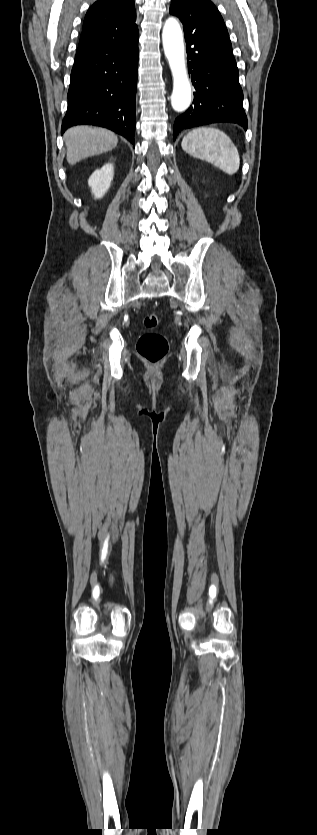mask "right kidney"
I'll list each match as a JSON object with an SVG mask.
<instances>
[{"label": "right kidney", "mask_w": 317, "mask_h": 835, "mask_svg": "<svg viewBox=\"0 0 317 835\" xmlns=\"http://www.w3.org/2000/svg\"><path fill=\"white\" fill-rule=\"evenodd\" d=\"M113 170V164L108 163L101 169L94 171L90 176L88 184L95 198H102L110 188L114 174Z\"/></svg>", "instance_id": "right-kidney-1"}]
</instances>
